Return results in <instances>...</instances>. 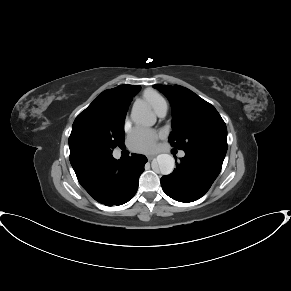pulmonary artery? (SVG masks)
<instances>
[{
	"label": "pulmonary artery",
	"instance_id": "1",
	"mask_svg": "<svg viewBox=\"0 0 291 291\" xmlns=\"http://www.w3.org/2000/svg\"><path fill=\"white\" fill-rule=\"evenodd\" d=\"M167 110H168V107H167V104L165 103L158 109V111H157L158 116L164 117L167 113ZM183 155H184V153L181 152L180 156H183Z\"/></svg>",
	"mask_w": 291,
	"mask_h": 291
}]
</instances>
